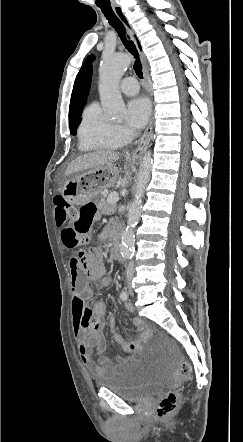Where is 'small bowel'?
Returning <instances> with one entry per match:
<instances>
[{"instance_id": "small-bowel-1", "label": "small bowel", "mask_w": 243, "mask_h": 442, "mask_svg": "<svg viewBox=\"0 0 243 442\" xmlns=\"http://www.w3.org/2000/svg\"><path fill=\"white\" fill-rule=\"evenodd\" d=\"M111 232L112 226H107L100 234V238H107ZM69 268L74 295L73 330L78 343L79 356L91 376L94 379H99L129 359L120 355L110 358L104 354L106 350V342L103 336L104 317L108 307L101 300L88 304L92 294L89 283L99 282L102 286L109 283L101 250L91 249L81 252L79 257L71 259ZM126 308L132 310L133 307L127 304ZM115 324V319L111 318L109 325L112 338L127 354L139 351L150 333L149 328L144 325L142 320L135 318L133 324L142 334L137 340L126 341L115 331Z\"/></svg>"}]
</instances>
